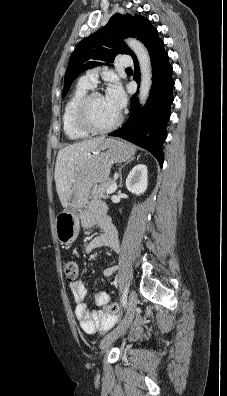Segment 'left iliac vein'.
<instances>
[{
	"mask_svg": "<svg viewBox=\"0 0 227 396\" xmlns=\"http://www.w3.org/2000/svg\"><path fill=\"white\" fill-rule=\"evenodd\" d=\"M137 306V294L135 290H132L129 295L128 304H127V313L122 324L115 329L113 332L105 336L100 342V349L104 350L108 346H110L116 339L120 336L124 335L130 324L132 323Z\"/></svg>",
	"mask_w": 227,
	"mask_h": 396,
	"instance_id": "1",
	"label": "left iliac vein"
}]
</instances>
